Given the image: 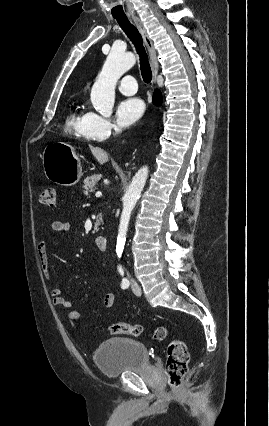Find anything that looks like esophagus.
<instances>
[{"mask_svg":"<svg viewBox=\"0 0 269 426\" xmlns=\"http://www.w3.org/2000/svg\"><path fill=\"white\" fill-rule=\"evenodd\" d=\"M132 19L134 20L135 24L137 25V27H138V29H139L142 37H143L145 45L148 49L149 56H150L151 69H152V83L156 84L157 74H158V61H157V54H156L155 47L153 45L151 38L149 37V34H148L144 24L140 20V18H138L137 16H134V17H132Z\"/></svg>","mask_w":269,"mask_h":426,"instance_id":"obj_1","label":"esophagus"}]
</instances>
